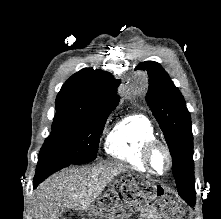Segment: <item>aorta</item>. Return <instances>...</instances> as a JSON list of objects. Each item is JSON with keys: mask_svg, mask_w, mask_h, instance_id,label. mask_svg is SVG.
Wrapping results in <instances>:
<instances>
[{"mask_svg": "<svg viewBox=\"0 0 221 219\" xmlns=\"http://www.w3.org/2000/svg\"><path fill=\"white\" fill-rule=\"evenodd\" d=\"M137 82H139L140 84H144L146 82V77L145 75L141 74L137 77Z\"/></svg>", "mask_w": 221, "mask_h": 219, "instance_id": "1", "label": "aorta"}]
</instances>
